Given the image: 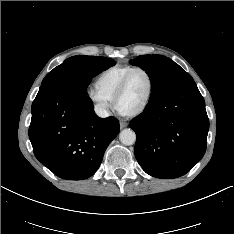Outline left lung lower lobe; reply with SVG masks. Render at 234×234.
<instances>
[{
  "mask_svg": "<svg viewBox=\"0 0 234 234\" xmlns=\"http://www.w3.org/2000/svg\"><path fill=\"white\" fill-rule=\"evenodd\" d=\"M135 131V156L157 178L185 175L206 151L209 120L194 81L186 82L147 105L129 124Z\"/></svg>",
  "mask_w": 234,
  "mask_h": 234,
  "instance_id": "obj_1",
  "label": "left lung lower lobe"
}]
</instances>
